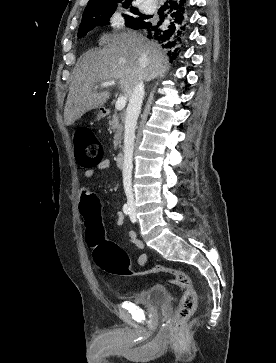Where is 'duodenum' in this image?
<instances>
[{"label":"duodenum","mask_w":276,"mask_h":363,"mask_svg":"<svg viewBox=\"0 0 276 363\" xmlns=\"http://www.w3.org/2000/svg\"><path fill=\"white\" fill-rule=\"evenodd\" d=\"M116 163L118 166H122L124 163V153L123 152H118L116 154Z\"/></svg>","instance_id":"1"}]
</instances>
